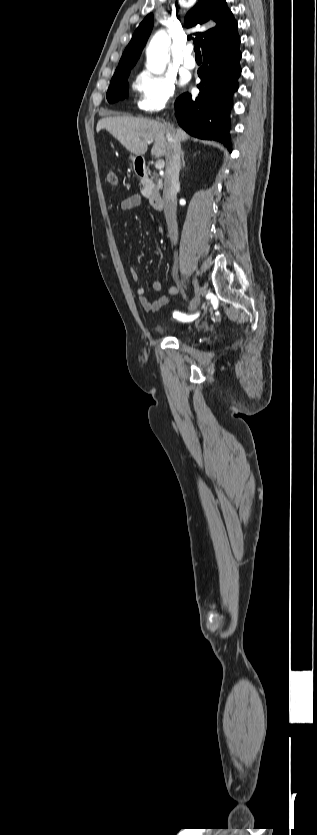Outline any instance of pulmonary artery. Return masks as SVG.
Wrapping results in <instances>:
<instances>
[{
	"mask_svg": "<svg viewBox=\"0 0 317 835\" xmlns=\"http://www.w3.org/2000/svg\"><path fill=\"white\" fill-rule=\"evenodd\" d=\"M193 50H194V49H193V46H192L191 44H188V45L184 48L183 65H184L187 69H193V68H195V67H196V60H195V58H194V56H193V54H192V53H193Z\"/></svg>",
	"mask_w": 317,
	"mask_h": 835,
	"instance_id": "e3ab8cb5",
	"label": "pulmonary artery"
}]
</instances>
